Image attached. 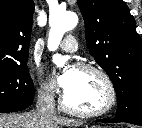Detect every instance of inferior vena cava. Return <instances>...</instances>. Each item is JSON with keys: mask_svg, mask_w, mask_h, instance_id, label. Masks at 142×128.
<instances>
[{"mask_svg": "<svg viewBox=\"0 0 142 128\" xmlns=\"http://www.w3.org/2000/svg\"><path fill=\"white\" fill-rule=\"evenodd\" d=\"M35 112L44 119H52L55 117L56 111L53 93L47 91L38 96Z\"/></svg>", "mask_w": 142, "mask_h": 128, "instance_id": "inferior-vena-cava-1", "label": "inferior vena cava"}]
</instances>
